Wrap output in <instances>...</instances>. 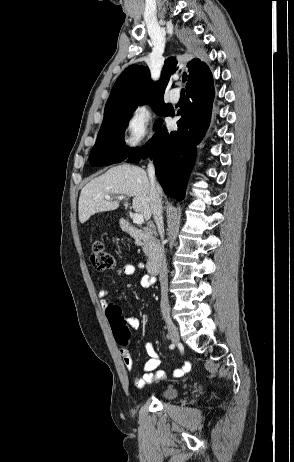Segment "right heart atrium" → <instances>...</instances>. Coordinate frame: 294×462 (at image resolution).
<instances>
[{
	"label": "right heart atrium",
	"mask_w": 294,
	"mask_h": 462,
	"mask_svg": "<svg viewBox=\"0 0 294 462\" xmlns=\"http://www.w3.org/2000/svg\"><path fill=\"white\" fill-rule=\"evenodd\" d=\"M153 115L145 107H136L123 128V146L129 153H138L148 146L152 134Z\"/></svg>",
	"instance_id": "d8ad5b80"
}]
</instances>
